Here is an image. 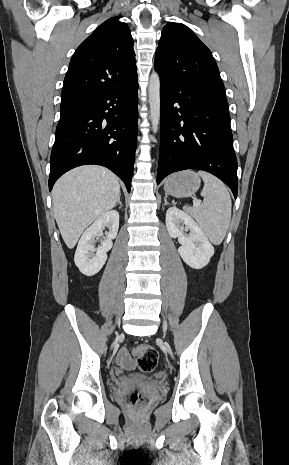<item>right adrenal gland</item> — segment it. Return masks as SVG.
Wrapping results in <instances>:
<instances>
[{
  "instance_id": "2a0ac1e0",
  "label": "right adrenal gland",
  "mask_w": 289,
  "mask_h": 465,
  "mask_svg": "<svg viewBox=\"0 0 289 465\" xmlns=\"http://www.w3.org/2000/svg\"><path fill=\"white\" fill-rule=\"evenodd\" d=\"M117 205H119V206H120L119 208H121V207H122V202L120 201V196H119V198H118V200H117V203L115 204V206H114V207H116Z\"/></svg>"
}]
</instances>
